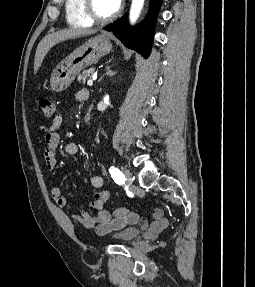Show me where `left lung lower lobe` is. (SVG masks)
Returning a JSON list of instances; mask_svg holds the SVG:
<instances>
[{
  "instance_id": "1",
  "label": "left lung lower lobe",
  "mask_w": 255,
  "mask_h": 287,
  "mask_svg": "<svg viewBox=\"0 0 255 287\" xmlns=\"http://www.w3.org/2000/svg\"><path fill=\"white\" fill-rule=\"evenodd\" d=\"M163 0H150L149 13L145 21L137 26L130 27L127 22V15L120 20L109 24L104 29L113 31V34L121 40L128 48L136 50L138 53L147 58L151 51L153 43L154 23Z\"/></svg>"
}]
</instances>
